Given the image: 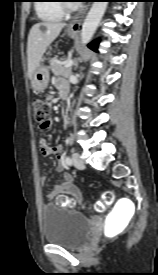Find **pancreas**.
<instances>
[{
	"instance_id": "pancreas-1",
	"label": "pancreas",
	"mask_w": 158,
	"mask_h": 275,
	"mask_svg": "<svg viewBox=\"0 0 158 275\" xmlns=\"http://www.w3.org/2000/svg\"><path fill=\"white\" fill-rule=\"evenodd\" d=\"M67 62L66 58H52L50 60V70L55 76H64L68 77L71 74V67H66L65 63Z\"/></svg>"
}]
</instances>
